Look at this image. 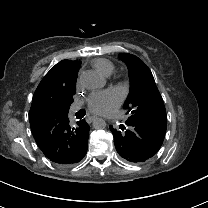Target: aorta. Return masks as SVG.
<instances>
[{
	"label": "aorta",
	"instance_id": "1",
	"mask_svg": "<svg viewBox=\"0 0 208 208\" xmlns=\"http://www.w3.org/2000/svg\"><path fill=\"white\" fill-rule=\"evenodd\" d=\"M92 125L95 129H104L106 127V122L104 119L96 117L93 120Z\"/></svg>",
	"mask_w": 208,
	"mask_h": 208
}]
</instances>
